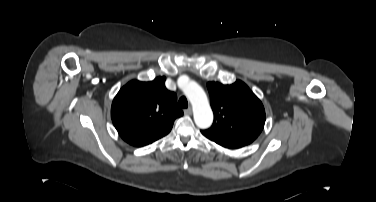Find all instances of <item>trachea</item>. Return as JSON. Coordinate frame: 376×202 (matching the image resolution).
Returning <instances> with one entry per match:
<instances>
[{
    "label": "trachea",
    "instance_id": "3493384b",
    "mask_svg": "<svg viewBox=\"0 0 376 202\" xmlns=\"http://www.w3.org/2000/svg\"><path fill=\"white\" fill-rule=\"evenodd\" d=\"M179 106L181 108H187L188 107V101L186 99V97L182 96L180 99H179Z\"/></svg>",
    "mask_w": 376,
    "mask_h": 202
}]
</instances>
